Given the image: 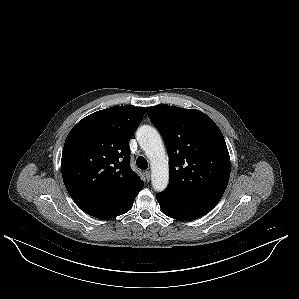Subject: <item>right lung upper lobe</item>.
<instances>
[{
    "label": "right lung upper lobe",
    "mask_w": 299,
    "mask_h": 299,
    "mask_svg": "<svg viewBox=\"0 0 299 299\" xmlns=\"http://www.w3.org/2000/svg\"><path fill=\"white\" fill-rule=\"evenodd\" d=\"M145 108L111 107L80 120L68 134L61 160L67 191L74 201L117 193L122 210L144 182L130 168L129 141Z\"/></svg>",
    "instance_id": "1"
}]
</instances>
